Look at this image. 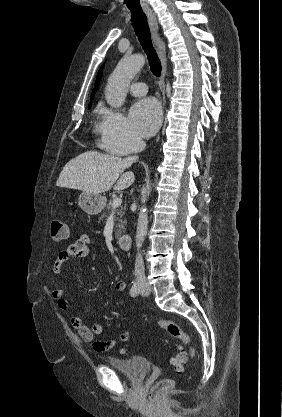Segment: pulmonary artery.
I'll use <instances>...</instances> for the list:
<instances>
[{"mask_svg": "<svg viewBox=\"0 0 282 417\" xmlns=\"http://www.w3.org/2000/svg\"><path fill=\"white\" fill-rule=\"evenodd\" d=\"M129 89L134 96H143L147 93V85L141 82L132 83Z\"/></svg>", "mask_w": 282, "mask_h": 417, "instance_id": "pulmonary-artery-1", "label": "pulmonary artery"}]
</instances>
